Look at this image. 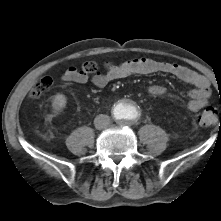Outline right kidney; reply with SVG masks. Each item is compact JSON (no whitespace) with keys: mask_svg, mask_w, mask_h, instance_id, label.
Masks as SVG:
<instances>
[{"mask_svg":"<svg viewBox=\"0 0 221 221\" xmlns=\"http://www.w3.org/2000/svg\"><path fill=\"white\" fill-rule=\"evenodd\" d=\"M67 97L63 94H57L53 98L52 108L54 114H59L66 107Z\"/></svg>","mask_w":221,"mask_h":221,"instance_id":"right-kidney-1","label":"right kidney"}]
</instances>
